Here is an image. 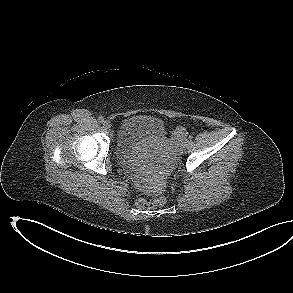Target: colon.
Returning <instances> with one entry per match:
<instances>
[{"label": "colon", "mask_w": 293, "mask_h": 293, "mask_svg": "<svg viewBox=\"0 0 293 293\" xmlns=\"http://www.w3.org/2000/svg\"><path fill=\"white\" fill-rule=\"evenodd\" d=\"M177 135H181L182 129L177 130ZM166 200L163 196H159L152 200H147L145 198H139L137 200V206L141 209H150V208H156L163 206L165 204Z\"/></svg>", "instance_id": "obj_1"}]
</instances>
